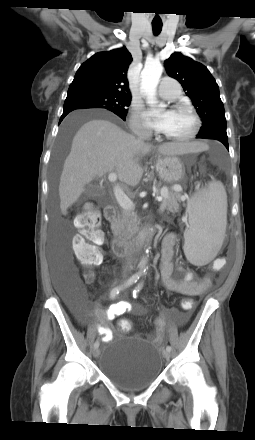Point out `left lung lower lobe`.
Instances as JSON below:
<instances>
[{"label": "left lung lower lobe", "mask_w": 255, "mask_h": 440, "mask_svg": "<svg viewBox=\"0 0 255 440\" xmlns=\"http://www.w3.org/2000/svg\"><path fill=\"white\" fill-rule=\"evenodd\" d=\"M205 139H215V140H218V141L222 142L227 149H229V147H228V139H220V138H205Z\"/></svg>", "instance_id": "left-lung-lower-lobe-1"}]
</instances>
